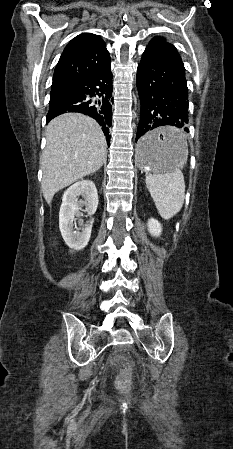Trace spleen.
<instances>
[{"label": "spleen", "instance_id": "1", "mask_svg": "<svg viewBox=\"0 0 233 449\" xmlns=\"http://www.w3.org/2000/svg\"><path fill=\"white\" fill-rule=\"evenodd\" d=\"M178 133L180 140L185 142L187 153V143L182 134ZM146 186L159 214L164 219L169 220L181 210L184 203L185 184L179 167H174L164 173H159L155 170L153 174H148L146 176Z\"/></svg>", "mask_w": 233, "mask_h": 449}]
</instances>
